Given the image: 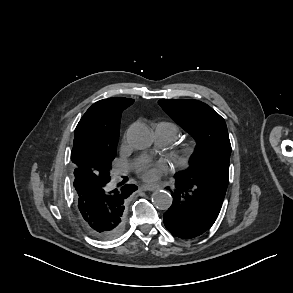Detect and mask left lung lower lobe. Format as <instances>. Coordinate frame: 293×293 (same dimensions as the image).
<instances>
[{"label": "left lung lower lobe", "instance_id": "1", "mask_svg": "<svg viewBox=\"0 0 293 293\" xmlns=\"http://www.w3.org/2000/svg\"><path fill=\"white\" fill-rule=\"evenodd\" d=\"M225 193V189L217 186L176 179L171 191L173 203L164 214L165 227L182 239L201 235L216 221Z\"/></svg>", "mask_w": 293, "mask_h": 293}]
</instances>
